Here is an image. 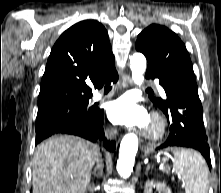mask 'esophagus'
Masks as SVG:
<instances>
[{"instance_id":"obj_1","label":"esophagus","mask_w":221,"mask_h":193,"mask_svg":"<svg viewBox=\"0 0 221 193\" xmlns=\"http://www.w3.org/2000/svg\"><path fill=\"white\" fill-rule=\"evenodd\" d=\"M131 77L130 75H123L122 76V84L124 87H128L131 84Z\"/></svg>"}]
</instances>
